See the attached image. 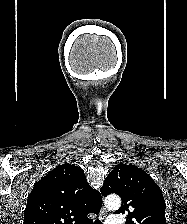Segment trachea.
<instances>
[{"label": "trachea", "instance_id": "obj_1", "mask_svg": "<svg viewBox=\"0 0 187 224\" xmlns=\"http://www.w3.org/2000/svg\"><path fill=\"white\" fill-rule=\"evenodd\" d=\"M94 224H102L101 221L99 219H97Z\"/></svg>", "mask_w": 187, "mask_h": 224}]
</instances>
